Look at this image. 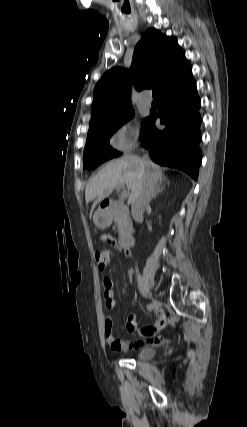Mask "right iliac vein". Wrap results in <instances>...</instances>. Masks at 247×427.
<instances>
[{
    "label": "right iliac vein",
    "mask_w": 247,
    "mask_h": 427,
    "mask_svg": "<svg viewBox=\"0 0 247 427\" xmlns=\"http://www.w3.org/2000/svg\"><path fill=\"white\" fill-rule=\"evenodd\" d=\"M152 307H153V309L154 310H159V308H160V303H159V301L158 300H156V299H153L152 300Z\"/></svg>",
    "instance_id": "1"
}]
</instances>
